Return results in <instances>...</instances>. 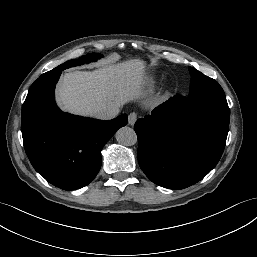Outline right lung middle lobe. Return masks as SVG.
I'll list each match as a JSON object with an SVG mask.
<instances>
[{"label": "right lung middle lobe", "mask_w": 257, "mask_h": 257, "mask_svg": "<svg viewBox=\"0 0 257 257\" xmlns=\"http://www.w3.org/2000/svg\"><path fill=\"white\" fill-rule=\"evenodd\" d=\"M103 55L99 54V53H90L88 55L82 56L79 59L76 60H69L67 62H65L64 64L59 65L58 67L54 68L53 70L49 71V72H54L57 71L59 69L64 70L66 68L72 67V66H77V65H81L90 61H95L99 58H101Z\"/></svg>", "instance_id": "dd1d6c3e"}]
</instances>
